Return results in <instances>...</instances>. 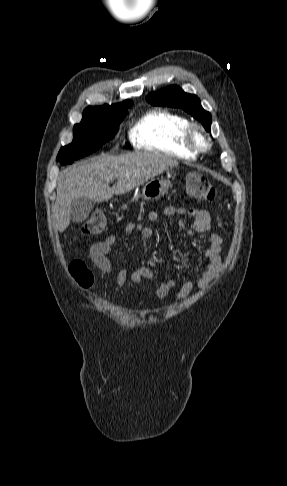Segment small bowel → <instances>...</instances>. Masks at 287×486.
Returning a JSON list of instances; mask_svg holds the SVG:
<instances>
[{"mask_svg": "<svg viewBox=\"0 0 287 486\" xmlns=\"http://www.w3.org/2000/svg\"><path fill=\"white\" fill-rule=\"evenodd\" d=\"M161 217H177V224L187 235L197 236L208 234L206 249L201 252L202 258L206 261V267L201 269L199 264L193 268L194 279L187 280L181 285L176 279L170 278L163 281L155 290L157 298H165L173 289L179 287L176 292V298L179 300L187 298L194 288L199 290L205 289L223 270L222 245L223 238L217 233H209L211 227V216L208 211L196 207L188 209L168 206L161 211H150L148 219L151 222L158 221ZM187 218L189 222L185 220ZM218 227H223L222 218H217ZM129 234H138L143 243L146 244L154 236V230L141 223H129L126 227ZM116 243V236L109 235L105 239L93 244L89 250V258L92 263L103 273L109 275L112 270L109 254L112 252ZM154 278V272L149 267H140L129 273L123 266L117 275L116 285L122 288L128 280L135 284H140L144 280Z\"/></svg>", "mask_w": 287, "mask_h": 486, "instance_id": "1", "label": "small bowel"}]
</instances>
